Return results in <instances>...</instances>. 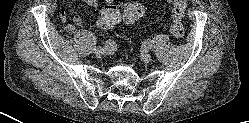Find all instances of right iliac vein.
Listing matches in <instances>:
<instances>
[{
  "label": "right iliac vein",
  "mask_w": 249,
  "mask_h": 123,
  "mask_svg": "<svg viewBox=\"0 0 249 123\" xmlns=\"http://www.w3.org/2000/svg\"><path fill=\"white\" fill-rule=\"evenodd\" d=\"M105 53V48L103 47H97L95 50V56L97 58H100Z\"/></svg>",
  "instance_id": "obj_1"
}]
</instances>
